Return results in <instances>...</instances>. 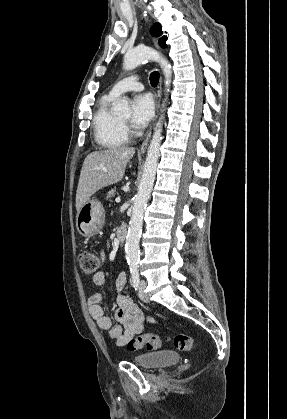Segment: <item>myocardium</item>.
<instances>
[{"label":"myocardium","mask_w":287,"mask_h":419,"mask_svg":"<svg viewBox=\"0 0 287 419\" xmlns=\"http://www.w3.org/2000/svg\"><path fill=\"white\" fill-rule=\"evenodd\" d=\"M120 122H121L122 124H124V121L120 120Z\"/></svg>","instance_id":"1"}]
</instances>
